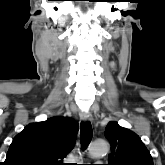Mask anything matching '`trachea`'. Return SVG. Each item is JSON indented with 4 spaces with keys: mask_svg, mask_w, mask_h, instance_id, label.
I'll list each match as a JSON object with an SVG mask.
<instances>
[{
    "mask_svg": "<svg viewBox=\"0 0 165 165\" xmlns=\"http://www.w3.org/2000/svg\"><path fill=\"white\" fill-rule=\"evenodd\" d=\"M92 126L90 122H84L80 126V141H81V148L84 150L90 144L92 140Z\"/></svg>",
    "mask_w": 165,
    "mask_h": 165,
    "instance_id": "1",
    "label": "trachea"
}]
</instances>
